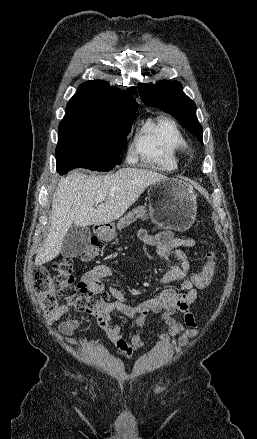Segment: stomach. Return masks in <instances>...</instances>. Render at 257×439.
<instances>
[{"instance_id":"obj_1","label":"stomach","mask_w":257,"mask_h":439,"mask_svg":"<svg viewBox=\"0 0 257 439\" xmlns=\"http://www.w3.org/2000/svg\"><path fill=\"white\" fill-rule=\"evenodd\" d=\"M149 213L151 220L166 228L185 231L194 223L197 213L196 194L193 187L180 179L165 178L150 185ZM105 241L115 237L113 227L97 232Z\"/></svg>"}]
</instances>
